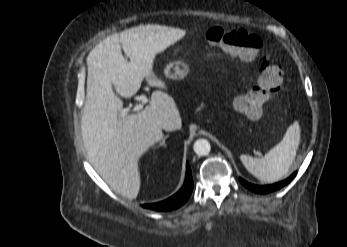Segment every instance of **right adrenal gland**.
Wrapping results in <instances>:
<instances>
[{
	"label": "right adrenal gland",
	"mask_w": 347,
	"mask_h": 247,
	"mask_svg": "<svg viewBox=\"0 0 347 247\" xmlns=\"http://www.w3.org/2000/svg\"><path fill=\"white\" fill-rule=\"evenodd\" d=\"M168 137H169V135L164 136L162 142L160 143V146H161V147H163V148L166 147L165 140H166Z\"/></svg>",
	"instance_id": "2a0ac1e0"
}]
</instances>
